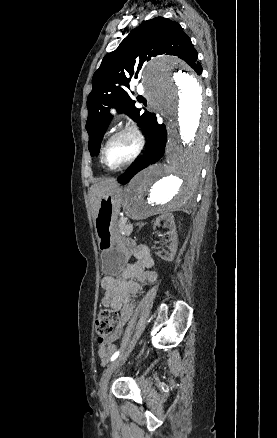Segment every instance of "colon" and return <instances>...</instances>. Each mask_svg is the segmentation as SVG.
<instances>
[{"label": "colon", "instance_id": "1", "mask_svg": "<svg viewBox=\"0 0 277 438\" xmlns=\"http://www.w3.org/2000/svg\"><path fill=\"white\" fill-rule=\"evenodd\" d=\"M116 313L111 309H103L95 321V332L99 343L111 336L115 326Z\"/></svg>", "mask_w": 277, "mask_h": 438}]
</instances>
